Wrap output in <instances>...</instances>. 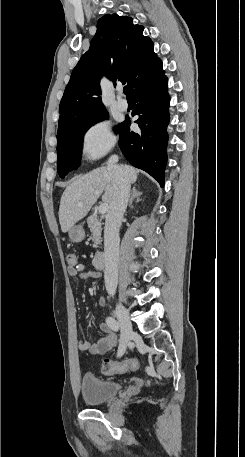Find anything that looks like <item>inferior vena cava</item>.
Here are the masks:
<instances>
[{"instance_id": "inferior-vena-cava-1", "label": "inferior vena cava", "mask_w": 245, "mask_h": 457, "mask_svg": "<svg viewBox=\"0 0 245 457\" xmlns=\"http://www.w3.org/2000/svg\"><path fill=\"white\" fill-rule=\"evenodd\" d=\"M115 162H118V156L112 154L107 160V170L111 176L114 192L104 226V281L106 291L110 295L115 293L118 285L119 229L130 194V180L125 170Z\"/></svg>"}]
</instances>
